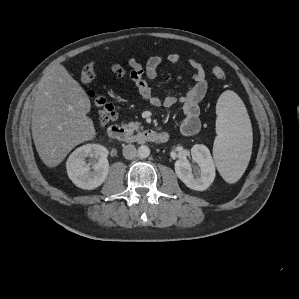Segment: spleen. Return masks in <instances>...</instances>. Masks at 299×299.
Masks as SVG:
<instances>
[{
    "instance_id": "1",
    "label": "spleen",
    "mask_w": 299,
    "mask_h": 299,
    "mask_svg": "<svg viewBox=\"0 0 299 299\" xmlns=\"http://www.w3.org/2000/svg\"><path fill=\"white\" fill-rule=\"evenodd\" d=\"M216 133L213 157L223 179L237 182L244 174L252 150V127L241 98L231 90L223 92L216 105Z\"/></svg>"
}]
</instances>
